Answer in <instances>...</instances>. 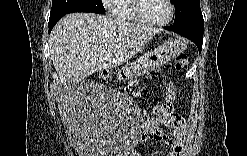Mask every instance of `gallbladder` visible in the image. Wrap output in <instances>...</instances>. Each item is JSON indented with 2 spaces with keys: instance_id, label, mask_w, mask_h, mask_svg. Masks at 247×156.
Here are the masks:
<instances>
[{
  "instance_id": "1",
  "label": "gallbladder",
  "mask_w": 247,
  "mask_h": 156,
  "mask_svg": "<svg viewBox=\"0 0 247 156\" xmlns=\"http://www.w3.org/2000/svg\"><path fill=\"white\" fill-rule=\"evenodd\" d=\"M74 86H75V82L72 79H70L62 85L61 92L64 94H68Z\"/></svg>"
}]
</instances>
